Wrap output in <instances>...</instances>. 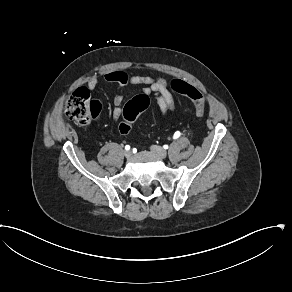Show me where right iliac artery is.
I'll list each match as a JSON object with an SVG mask.
<instances>
[{
    "mask_svg": "<svg viewBox=\"0 0 292 292\" xmlns=\"http://www.w3.org/2000/svg\"><path fill=\"white\" fill-rule=\"evenodd\" d=\"M125 149H126V150H129V149H130V146H129V145H126V146H125Z\"/></svg>",
    "mask_w": 292,
    "mask_h": 292,
    "instance_id": "obj_1",
    "label": "right iliac artery"
}]
</instances>
